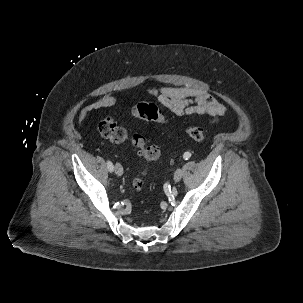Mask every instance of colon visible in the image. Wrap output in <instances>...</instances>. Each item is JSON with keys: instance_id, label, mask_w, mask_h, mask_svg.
I'll return each instance as SVG.
<instances>
[{"instance_id": "obj_1", "label": "colon", "mask_w": 303, "mask_h": 303, "mask_svg": "<svg viewBox=\"0 0 303 303\" xmlns=\"http://www.w3.org/2000/svg\"><path fill=\"white\" fill-rule=\"evenodd\" d=\"M132 115L146 121L166 122L161 111L154 103H137L132 108ZM98 129L102 137L112 142L121 143L129 140L148 163L158 160L161 155L160 148L157 145L148 144L147 139L142 134L129 133L126 128L120 126L112 117L104 118L99 123ZM185 130L188 136L197 142H202L205 138L204 130L199 126L188 125ZM134 187L136 190H141L144 187V180L142 178L136 179Z\"/></svg>"}]
</instances>
